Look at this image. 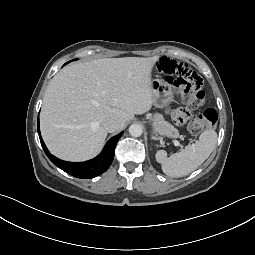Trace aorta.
<instances>
[{
	"label": "aorta",
	"mask_w": 255,
	"mask_h": 255,
	"mask_svg": "<svg viewBox=\"0 0 255 255\" xmlns=\"http://www.w3.org/2000/svg\"><path fill=\"white\" fill-rule=\"evenodd\" d=\"M143 129L142 126L139 124H132L129 127V133L133 137H139L142 135Z\"/></svg>",
	"instance_id": "762f6f07"
}]
</instances>
